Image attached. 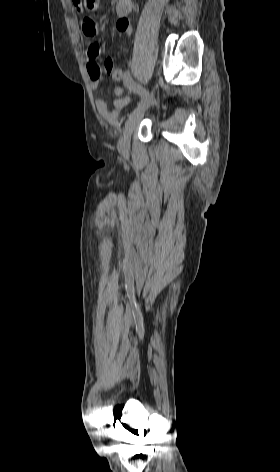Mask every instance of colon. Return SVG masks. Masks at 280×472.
Here are the masks:
<instances>
[{
    "label": "colon",
    "instance_id": "5ec220e1",
    "mask_svg": "<svg viewBox=\"0 0 280 472\" xmlns=\"http://www.w3.org/2000/svg\"><path fill=\"white\" fill-rule=\"evenodd\" d=\"M74 2L81 4L83 8L87 11L95 10L98 6L100 0H73ZM105 68L107 73L112 77V79L119 81L122 78V69L115 67L113 62L108 59L105 62Z\"/></svg>",
    "mask_w": 280,
    "mask_h": 472
}]
</instances>
